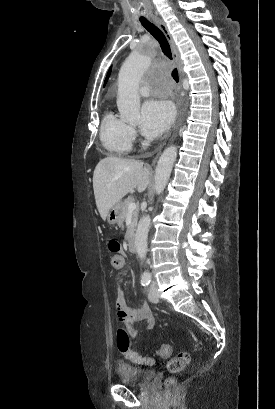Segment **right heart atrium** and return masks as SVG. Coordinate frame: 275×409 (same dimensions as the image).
Here are the masks:
<instances>
[{
    "mask_svg": "<svg viewBox=\"0 0 275 409\" xmlns=\"http://www.w3.org/2000/svg\"><path fill=\"white\" fill-rule=\"evenodd\" d=\"M131 134H132V136H133V137H135V136H136V131H135V129H134V128H131Z\"/></svg>",
    "mask_w": 275,
    "mask_h": 409,
    "instance_id": "right-heart-atrium-1",
    "label": "right heart atrium"
}]
</instances>
